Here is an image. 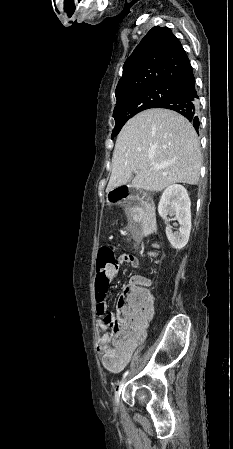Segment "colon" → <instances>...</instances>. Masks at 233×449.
Here are the masks:
<instances>
[{"mask_svg": "<svg viewBox=\"0 0 233 449\" xmlns=\"http://www.w3.org/2000/svg\"><path fill=\"white\" fill-rule=\"evenodd\" d=\"M118 259L111 246H102L97 254L96 262V302L97 306L102 304L109 290V268H114ZM153 298L149 290L148 281L144 278L137 279L128 285L122 292L119 301V315L114 317L107 314L105 320L113 332L119 333L121 340L125 343L132 339L139 327L140 321L152 309ZM104 366L111 369H120L124 365V359L115 352L112 344L107 347L103 356Z\"/></svg>", "mask_w": 233, "mask_h": 449, "instance_id": "colon-1", "label": "colon"}]
</instances>
